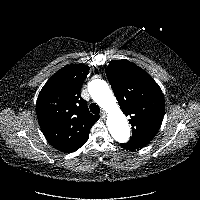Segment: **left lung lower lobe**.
Wrapping results in <instances>:
<instances>
[{"label":"left lung lower lobe","instance_id":"left-lung-lower-lobe-1","mask_svg":"<svg viewBox=\"0 0 200 200\" xmlns=\"http://www.w3.org/2000/svg\"><path fill=\"white\" fill-rule=\"evenodd\" d=\"M121 146H122L124 149H126V150H130V148H129L127 145H125V144H121Z\"/></svg>","mask_w":200,"mask_h":200}]
</instances>
